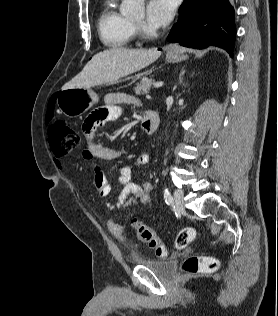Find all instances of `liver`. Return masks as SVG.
<instances>
[{
	"label": "liver",
	"mask_w": 278,
	"mask_h": 316,
	"mask_svg": "<svg viewBox=\"0 0 278 316\" xmlns=\"http://www.w3.org/2000/svg\"><path fill=\"white\" fill-rule=\"evenodd\" d=\"M158 49H109L97 53L83 70L62 89L91 88L114 82L122 77L137 72L158 59Z\"/></svg>",
	"instance_id": "liver-1"
}]
</instances>
